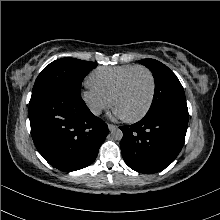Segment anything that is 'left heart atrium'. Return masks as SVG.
<instances>
[{"mask_svg":"<svg viewBox=\"0 0 220 220\" xmlns=\"http://www.w3.org/2000/svg\"><path fill=\"white\" fill-rule=\"evenodd\" d=\"M112 116L114 118H118V119L126 118L125 115L122 113V111L119 108H117V107L113 108Z\"/></svg>","mask_w":220,"mask_h":220,"instance_id":"left-heart-atrium-1","label":"left heart atrium"}]
</instances>
